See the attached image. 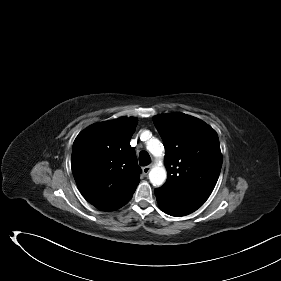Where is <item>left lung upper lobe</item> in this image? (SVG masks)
<instances>
[{"label":"left lung upper lobe","mask_w":281,"mask_h":281,"mask_svg":"<svg viewBox=\"0 0 281 281\" xmlns=\"http://www.w3.org/2000/svg\"><path fill=\"white\" fill-rule=\"evenodd\" d=\"M153 122L164 142L168 171L160 188L206 201L222 166L217 133L202 120L180 112L154 116Z\"/></svg>","instance_id":"obj_1"}]
</instances>
